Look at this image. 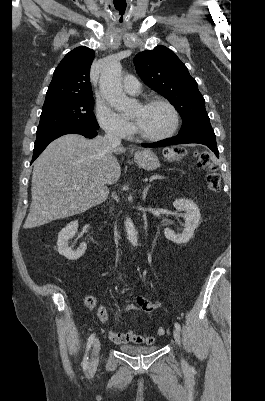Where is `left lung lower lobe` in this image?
Here are the masks:
<instances>
[{"mask_svg":"<svg viewBox=\"0 0 265 401\" xmlns=\"http://www.w3.org/2000/svg\"><path fill=\"white\" fill-rule=\"evenodd\" d=\"M188 143H198L208 146L217 157H219V152L216 145V137L211 124L200 125L196 128L189 129L184 132H179V134L173 138L161 140L151 144L143 143V147H164L176 144H188Z\"/></svg>","mask_w":265,"mask_h":401,"instance_id":"1","label":"left lung lower lobe"}]
</instances>
